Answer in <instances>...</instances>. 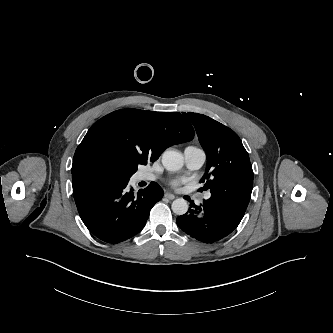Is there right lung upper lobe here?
<instances>
[{
  "mask_svg": "<svg viewBox=\"0 0 333 333\" xmlns=\"http://www.w3.org/2000/svg\"><path fill=\"white\" fill-rule=\"evenodd\" d=\"M193 138V127L178 112L114 111L94 123L77 147L72 179L96 174L101 164L112 167L118 177H131L139 165L154 162L166 148Z\"/></svg>",
  "mask_w": 333,
  "mask_h": 333,
  "instance_id": "cb5924a9",
  "label": "right lung upper lobe"
}]
</instances>
